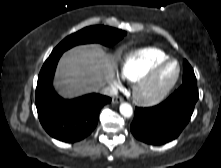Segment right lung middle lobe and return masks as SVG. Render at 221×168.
<instances>
[{
    "mask_svg": "<svg viewBox=\"0 0 221 168\" xmlns=\"http://www.w3.org/2000/svg\"><path fill=\"white\" fill-rule=\"evenodd\" d=\"M125 34L126 32L111 27L89 26L66 37L51 54H62L75 45L85 43H101L110 46L122 39Z\"/></svg>",
    "mask_w": 221,
    "mask_h": 168,
    "instance_id": "right-lung-middle-lobe-1",
    "label": "right lung middle lobe"
}]
</instances>
